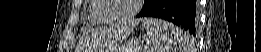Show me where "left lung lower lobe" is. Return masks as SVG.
<instances>
[{
    "instance_id": "1",
    "label": "left lung lower lobe",
    "mask_w": 261,
    "mask_h": 52,
    "mask_svg": "<svg viewBox=\"0 0 261 52\" xmlns=\"http://www.w3.org/2000/svg\"><path fill=\"white\" fill-rule=\"evenodd\" d=\"M165 19L196 35L198 27L196 0H153L136 16Z\"/></svg>"
}]
</instances>
